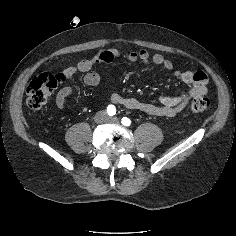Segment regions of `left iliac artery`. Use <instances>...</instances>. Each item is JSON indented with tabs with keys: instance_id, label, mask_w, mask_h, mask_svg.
I'll return each instance as SVG.
<instances>
[{
	"instance_id": "obj_1",
	"label": "left iliac artery",
	"mask_w": 236,
	"mask_h": 236,
	"mask_svg": "<svg viewBox=\"0 0 236 236\" xmlns=\"http://www.w3.org/2000/svg\"><path fill=\"white\" fill-rule=\"evenodd\" d=\"M121 122L125 126H130L131 125V120L127 117H123Z\"/></svg>"
}]
</instances>
